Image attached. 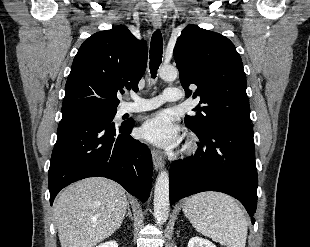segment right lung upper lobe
<instances>
[{
  "mask_svg": "<svg viewBox=\"0 0 310 247\" xmlns=\"http://www.w3.org/2000/svg\"><path fill=\"white\" fill-rule=\"evenodd\" d=\"M147 45L127 27L100 31L79 48L65 86L62 111L78 107L116 109L118 90H138L145 72Z\"/></svg>",
  "mask_w": 310,
  "mask_h": 247,
  "instance_id": "right-lung-upper-lobe-1",
  "label": "right lung upper lobe"
}]
</instances>
